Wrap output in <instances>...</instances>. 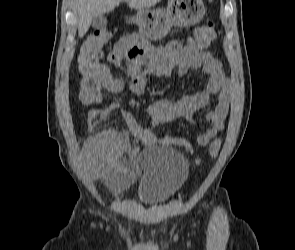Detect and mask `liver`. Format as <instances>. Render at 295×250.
<instances>
[{"mask_svg":"<svg viewBox=\"0 0 295 250\" xmlns=\"http://www.w3.org/2000/svg\"><path fill=\"white\" fill-rule=\"evenodd\" d=\"M161 0H77L76 10L78 12V35L83 37L96 16L111 12L120 5L127 2L132 9L150 8Z\"/></svg>","mask_w":295,"mask_h":250,"instance_id":"1","label":"liver"}]
</instances>
